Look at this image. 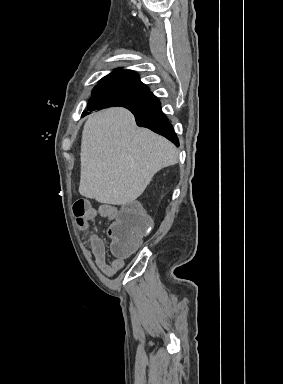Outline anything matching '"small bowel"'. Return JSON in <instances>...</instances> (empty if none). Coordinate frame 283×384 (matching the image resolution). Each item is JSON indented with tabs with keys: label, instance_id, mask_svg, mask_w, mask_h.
Wrapping results in <instances>:
<instances>
[{
	"label": "small bowel",
	"instance_id": "obj_1",
	"mask_svg": "<svg viewBox=\"0 0 283 384\" xmlns=\"http://www.w3.org/2000/svg\"><path fill=\"white\" fill-rule=\"evenodd\" d=\"M118 213L119 211L116 206L101 204L97 208L90 207L86 214L77 221L79 229L89 231L90 252H88V255L107 276H112L121 270L125 265V260L123 257L116 256L113 253L109 257L105 241L92 230V222L99 216L108 220H114Z\"/></svg>",
	"mask_w": 283,
	"mask_h": 384
}]
</instances>
